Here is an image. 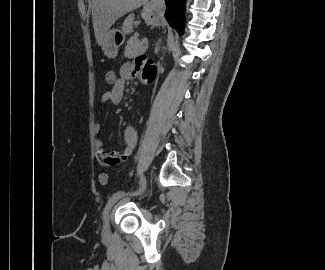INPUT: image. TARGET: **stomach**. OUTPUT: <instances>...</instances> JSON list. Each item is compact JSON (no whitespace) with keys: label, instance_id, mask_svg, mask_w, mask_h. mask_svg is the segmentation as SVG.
Returning <instances> with one entry per match:
<instances>
[{"label":"stomach","instance_id":"obj_1","mask_svg":"<svg viewBox=\"0 0 325 270\" xmlns=\"http://www.w3.org/2000/svg\"><path fill=\"white\" fill-rule=\"evenodd\" d=\"M142 18L148 25L159 26L161 13L151 4H146L141 13ZM125 34L119 30H109L106 40L102 46L104 54L109 58H115L118 53V48L123 44Z\"/></svg>","mask_w":325,"mask_h":270}]
</instances>
